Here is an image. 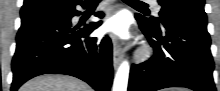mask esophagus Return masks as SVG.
Wrapping results in <instances>:
<instances>
[{"instance_id": "esophagus-1", "label": "esophagus", "mask_w": 220, "mask_h": 91, "mask_svg": "<svg viewBox=\"0 0 220 91\" xmlns=\"http://www.w3.org/2000/svg\"><path fill=\"white\" fill-rule=\"evenodd\" d=\"M123 59V52L116 40H114L113 43V66L115 69L118 68L119 64L121 63Z\"/></svg>"}]
</instances>
